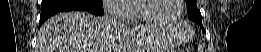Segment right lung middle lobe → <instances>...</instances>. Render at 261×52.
Here are the masks:
<instances>
[{"instance_id": "right-lung-middle-lobe-1", "label": "right lung middle lobe", "mask_w": 261, "mask_h": 52, "mask_svg": "<svg viewBox=\"0 0 261 52\" xmlns=\"http://www.w3.org/2000/svg\"><path fill=\"white\" fill-rule=\"evenodd\" d=\"M92 3H95V4H102V0H94V1H92Z\"/></svg>"}]
</instances>
